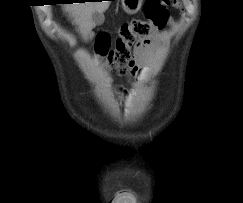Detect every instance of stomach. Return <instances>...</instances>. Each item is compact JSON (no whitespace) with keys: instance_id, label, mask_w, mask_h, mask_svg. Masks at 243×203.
Instances as JSON below:
<instances>
[{"instance_id":"1","label":"stomach","mask_w":243,"mask_h":203,"mask_svg":"<svg viewBox=\"0 0 243 203\" xmlns=\"http://www.w3.org/2000/svg\"><path fill=\"white\" fill-rule=\"evenodd\" d=\"M124 11L128 14H134L141 8L143 0H121Z\"/></svg>"}]
</instances>
